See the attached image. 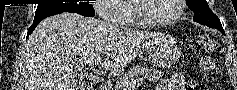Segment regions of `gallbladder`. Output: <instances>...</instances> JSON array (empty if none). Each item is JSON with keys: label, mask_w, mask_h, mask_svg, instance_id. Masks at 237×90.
Here are the masks:
<instances>
[{"label": "gallbladder", "mask_w": 237, "mask_h": 90, "mask_svg": "<svg viewBox=\"0 0 237 90\" xmlns=\"http://www.w3.org/2000/svg\"><path fill=\"white\" fill-rule=\"evenodd\" d=\"M82 90H89V86H82Z\"/></svg>", "instance_id": "gallbladder-1"}]
</instances>
